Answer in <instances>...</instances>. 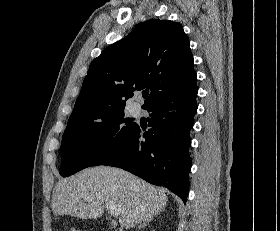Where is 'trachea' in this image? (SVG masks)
Wrapping results in <instances>:
<instances>
[{
  "instance_id": "1",
  "label": "trachea",
  "mask_w": 280,
  "mask_h": 231,
  "mask_svg": "<svg viewBox=\"0 0 280 231\" xmlns=\"http://www.w3.org/2000/svg\"><path fill=\"white\" fill-rule=\"evenodd\" d=\"M148 96V94H146V95H143V98H146Z\"/></svg>"
}]
</instances>
